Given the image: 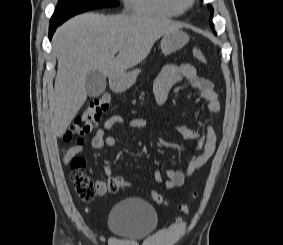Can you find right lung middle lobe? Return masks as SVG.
I'll return each instance as SVG.
<instances>
[{
    "label": "right lung middle lobe",
    "mask_w": 283,
    "mask_h": 245,
    "mask_svg": "<svg viewBox=\"0 0 283 245\" xmlns=\"http://www.w3.org/2000/svg\"><path fill=\"white\" fill-rule=\"evenodd\" d=\"M117 5L118 0H58L50 23H63L70 17L88 10Z\"/></svg>",
    "instance_id": "right-lung-middle-lobe-1"
}]
</instances>
